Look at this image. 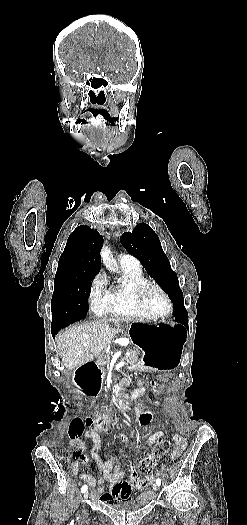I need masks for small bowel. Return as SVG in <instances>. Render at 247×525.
Masks as SVG:
<instances>
[{
    "label": "small bowel",
    "mask_w": 247,
    "mask_h": 525,
    "mask_svg": "<svg viewBox=\"0 0 247 525\" xmlns=\"http://www.w3.org/2000/svg\"><path fill=\"white\" fill-rule=\"evenodd\" d=\"M110 429L112 428H106V430ZM162 436L163 431L159 427H155L147 434L138 436L137 439L142 440L141 449L145 451ZM84 437L93 443L90 457L85 454V444L82 440L76 439L72 441L71 448L73 449V455L75 458V461L72 464V471L82 482L90 487L96 488L101 499L105 501L106 506H126L127 498L132 496L133 491H135L136 488H142L152 484L155 478L159 475V472H157L155 475L139 479L137 473L134 470H131L128 481L124 482L123 479L125 472L121 467L122 462L120 461L123 449L110 459L104 461L99 454L101 440L98 433H90V431H86ZM118 438L124 442L128 441L124 434H119ZM131 442L134 443L135 440H131ZM184 448L185 440L177 435L176 446L170 454V459H177L182 454ZM90 458L96 464L98 473L97 477H93L81 470L80 466L87 465ZM128 465L130 466V464ZM105 483L110 485V491H107L104 487Z\"/></svg>",
    "instance_id": "c3829d8e"
}]
</instances>
